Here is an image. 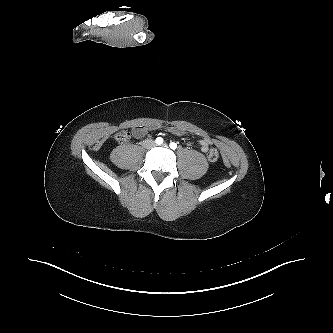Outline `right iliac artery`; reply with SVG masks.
I'll return each instance as SVG.
<instances>
[{
	"label": "right iliac artery",
	"instance_id": "right-iliac-artery-1",
	"mask_svg": "<svg viewBox=\"0 0 333 333\" xmlns=\"http://www.w3.org/2000/svg\"><path fill=\"white\" fill-rule=\"evenodd\" d=\"M155 142H156V144L161 145L163 143V138L158 137V138H156Z\"/></svg>",
	"mask_w": 333,
	"mask_h": 333
}]
</instances>
